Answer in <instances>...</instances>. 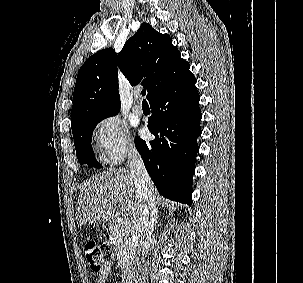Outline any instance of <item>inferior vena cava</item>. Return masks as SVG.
<instances>
[{"label":"inferior vena cava","instance_id":"inferior-vena-cava-1","mask_svg":"<svg viewBox=\"0 0 303 283\" xmlns=\"http://www.w3.org/2000/svg\"><path fill=\"white\" fill-rule=\"evenodd\" d=\"M128 166L138 194L139 220L136 224L135 236L139 244L135 247L132 265L133 283H146L149 239L154 228L157 213L152 181L146 171L143 160L135 148L128 153Z\"/></svg>","mask_w":303,"mask_h":283}]
</instances>
